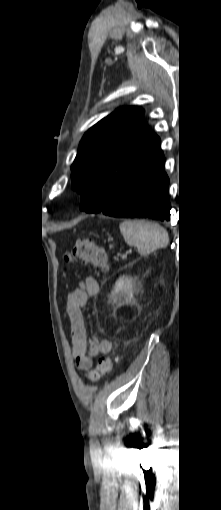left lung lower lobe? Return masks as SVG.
I'll list each match as a JSON object with an SVG mask.
<instances>
[{
    "mask_svg": "<svg viewBox=\"0 0 221 510\" xmlns=\"http://www.w3.org/2000/svg\"><path fill=\"white\" fill-rule=\"evenodd\" d=\"M164 156L159 154L141 169L104 208H90L86 203L80 209L112 217H148L169 220V178L164 172Z\"/></svg>",
    "mask_w": 221,
    "mask_h": 510,
    "instance_id": "obj_1",
    "label": "left lung lower lobe"
}]
</instances>
